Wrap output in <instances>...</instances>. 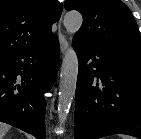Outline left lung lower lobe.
Returning <instances> with one entry per match:
<instances>
[{
	"mask_svg": "<svg viewBox=\"0 0 141 139\" xmlns=\"http://www.w3.org/2000/svg\"><path fill=\"white\" fill-rule=\"evenodd\" d=\"M79 62L75 139L127 134L141 139V57L74 37Z\"/></svg>",
	"mask_w": 141,
	"mask_h": 139,
	"instance_id": "0a47b994",
	"label": "left lung lower lobe"
}]
</instances>
